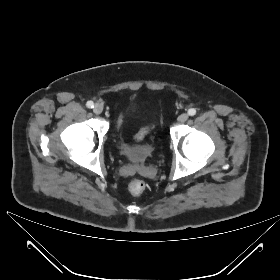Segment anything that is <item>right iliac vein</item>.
Masks as SVG:
<instances>
[{
  "instance_id": "1",
  "label": "right iliac vein",
  "mask_w": 280,
  "mask_h": 280,
  "mask_svg": "<svg viewBox=\"0 0 280 280\" xmlns=\"http://www.w3.org/2000/svg\"><path fill=\"white\" fill-rule=\"evenodd\" d=\"M93 111H94V113L97 114V115L101 114L102 111H103L102 105H101V104H96V105L94 106V108H93Z\"/></svg>"
}]
</instances>
